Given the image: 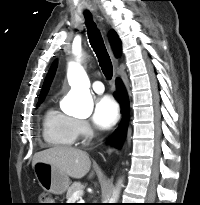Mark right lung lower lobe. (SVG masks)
<instances>
[{"instance_id":"right-lung-lower-lobe-1","label":"right lung lower lobe","mask_w":200,"mask_h":205,"mask_svg":"<svg viewBox=\"0 0 200 205\" xmlns=\"http://www.w3.org/2000/svg\"><path fill=\"white\" fill-rule=\"evenodd\" d=\"M116 83H117V94L115 95V97L118 100V102L124 106L123 113L125 116L119 128L112 135L111 142L115 146H120L125 136L129 112H128V98H127L125 88L119 79H117Z\"/></svg>"}]
</instances>
